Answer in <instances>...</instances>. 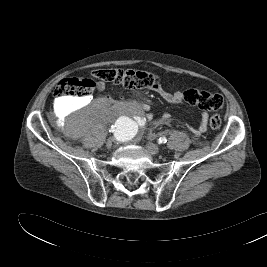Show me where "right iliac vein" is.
<instances>
[{"label":"right iliac vein","mask_w":267,"mask_h":267,"mask_svg":"<svg viewBox=\"0 0 267 267\" xmlns=\"http://www.w3.org/2000/svg\"><path fill=\"white\" fill-rule=\"evenodd\" d=\"M112 144H113V140L111 138H109L106 142V147L107 148H111L112 147Z\"/></svg>","instance_id":"right-iliac-vein-1"}]
</instances>
